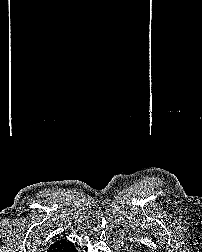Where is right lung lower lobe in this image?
<instances>
[{"label": "right lung lower lobe", "instance_id": "98d812e1", "mask_svg": "<svg viewBox=\"0 0 202 252\" xmlns=\"http://www.w3.org/2000/svg\"><path fill=\"white\" fill-rule=\"evenodd\" d=\"M62 252H78V251L74 247V244H72L71 246H69V247L65 248L64 250H62Z\"/></svg>", "mask_w": 202, "mask_h": 252}]
</instances>
